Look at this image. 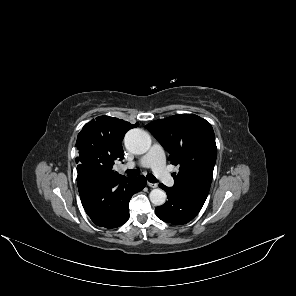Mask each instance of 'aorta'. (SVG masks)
<instances>
[{"label": "aorta", "instance_id": "762f6f07", "mask_svg": "<svg viewBox=\"0 0 296 296\" xmlns=\"http://www.w3.org/2000/svg\"><path fill=\"white\" fill-rule=\"evenodd\" d=\"M125 147L134 154H144L151 146V138L149 134L139 128L129 130L124 138ZM150 201L161 206L165 203L167 195L162 189H153L149 194Z\"/></svg>", "mask_w": 296, "mask_h": 296}]
</instances>
